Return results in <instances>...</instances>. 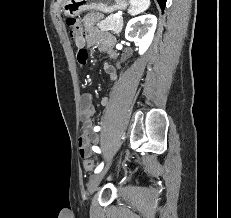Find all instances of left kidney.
Returning a JSON list of instances; mask_svg holds the SVG:
<instances>
[{
  "instance_id": "5707ae66",
  "label": "left kidney",
  "mask_w": 231,
  "mask_h": 218,
  "mask_svg": "<svg viewBox=\"0 0 231 218\" xmlns=\"http://www.w3.org/2000/svg\"><path fill=\"white\" fill-rule=\"evenodd\" d=\"M156 25L157 18L152 14L141 15L128 22L125 38L135 42L140 55L144 54L152 43Z\"/></svg>"
}]
</instances>
